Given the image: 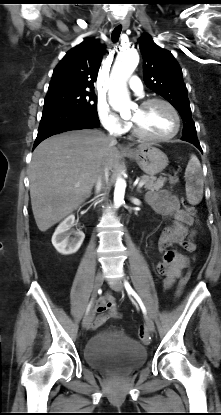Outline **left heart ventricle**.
I'll return each instance as SVG.
<instances>
[{
  "label": "left heart ventricle",
  "mask_w": 221,
  "mask_h": 415,
  "mask_svg": "<svg viewBox=\"0 0 221 415\" xmlns=\"http://www.w3.org/2000/svg\"><path fill=\"white\" fill-rule=\"evenodd\" d=\"M131 120L136 121L148 134L165 136L175 128V119L171 111L161 103H154L146 108L137 107Z\"/></svg>",
  "instance_id": "left-heart-ventricle-1"
}]
</instances>
